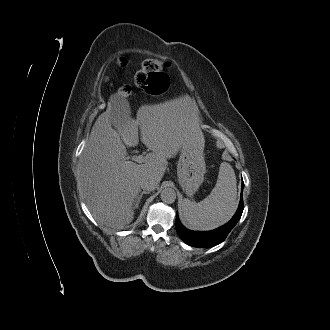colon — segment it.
Here are the masks:
<instances>
[{"label":"colon","mask_w":330,"mask_h":330,"mask_svg":"<svg viewBox=\"0 0 330 330\" xmlns=\"http://www.w3.org/2000/svg\"><path fill=\"white\" fill-rule=\"evenodd\" d=\"M120 66L125 65V60L118 61ZM168 63L158 58L146 59L134 75L135 86L143 92L150 94H159L163 92L168 85V78L164 69ZM118 94L122 97H129L132 94L130 85H123L118 89Z\"/></svg>","instance_id":"1"}]
</instances>
